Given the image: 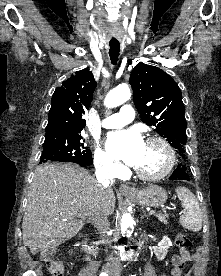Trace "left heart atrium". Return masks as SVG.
Returning a JSON list of instances; mask_svg holds the SVG:
<instances>
[{
    "mask_svg": "<svg viewBox=\"0 0 221 276\" xmlns=\"http://www.w3.org/2000/svg\"><path fill=\"white\" fill-rule=\"evenodd\" d=\"M109 153L130 166H136L144 151L145 143L136 130L112 133L106 141Z\"/></svg>",
    "mask_w": 221,
    "mask_h": 276,
    "instance_id": "obj_1",
    "label": "left heart atrium"
}]
</instances>
